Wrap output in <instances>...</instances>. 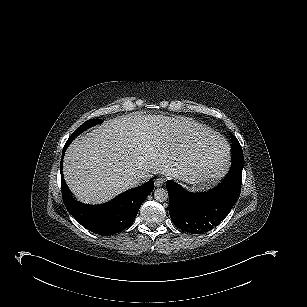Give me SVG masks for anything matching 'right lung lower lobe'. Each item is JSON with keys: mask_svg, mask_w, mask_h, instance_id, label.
<instances>
[{"mask_svg": "<svg viewBox=\"0 0 307 307\" xmlns=\"http://www.w3.org/2000/svg\"><path fill=\"white\" fill-rule=\"evenodd\" d=\"M69 144L66 142L62 157ZM60 169L62 174V162ZM153 187L154 181H148L123 192L107 203L87 205L72 198L61 175L62 195L70 214L86 229L103 236H110L128 228L134 222L141 204Z\"/></svg>", "mask_w": 307, "mask_h": 307, "instance_id": "98d812e1", "label": "right lung lower lobe"}]
</instances>
